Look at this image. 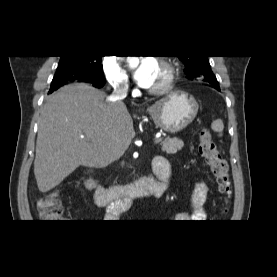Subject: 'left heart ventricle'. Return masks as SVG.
<instances>
[{"instance_id": "left-heart-ventricle-1", "label": "left heart ventricle", "mask_w": 277, "mask_h": 277, "mask_svg": "<svg viewBox=\"0 0 277 277\" xmlns=\"http://www.w3.org/2000/svg\"><path fill=\"white\" fill-rule=\"evenodd\" d=\"M164 77H165V70L160 64H158L151 87H155L159 85L163 81Z\"/></svg>"}]
</instances>
